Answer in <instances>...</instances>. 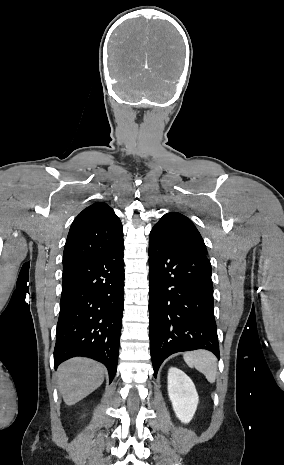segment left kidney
I'll return each mask as SVG.
<instances>
[{
  "label": "left kidney",
  "mask_w": 284,
  "mask_h": 465,
  "mask_svg": "<svg viewBox=\"0 0 284 465\" xmlns=\"http://www.w3.org/2000/svg\"><path fill=\"white\" fill-rule=\"evenodd\" d=\"M168 395L179 421L190 423L199 403L198 393L191 379L175 367L168 371Z\"/></svg>",
  "instance_id": "5707ae66"
}]
</instances>
